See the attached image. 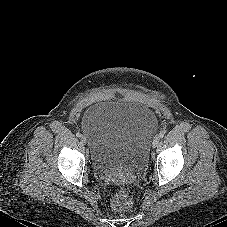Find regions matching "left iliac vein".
Returning <instances> with one entry per match:
<instances>
[{"label":"left iliac vein","instance_id":"1","mask_svg":"<svg viewBox=\"0 0 227 227\" xmlns=\"http://www.w3.org/2000/svg\"><path fill=\"white\" fill-rule=\"evenodd\" d=\"M159 143H160V137L157 135L153 139L152 146L155 148L159 145Z\"/></svg>","mask_w":227,"mask_h":227}]
</instances>
